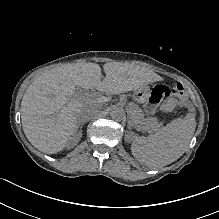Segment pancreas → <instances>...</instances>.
I'll return each instance as SVG.
<instances>
[{
    "mask_svg": "<svg viewBox=\"0 0 219 219\" xmlns=\"http://www.w3.org/2000/svg\"><path fill=\"white\" fill-rule=\"evenodd\" d=\"M129 117L134 119L138 126H143V128L148 131H156L160 127V124L154 119H144L143 112L140 109L131 110Z\"/></svg>",
    "mask_w": 219,
    "mask_h": 219,
    "instance_id": "cf45deb5",
    "label": "pancreas"
}]
</instances>
